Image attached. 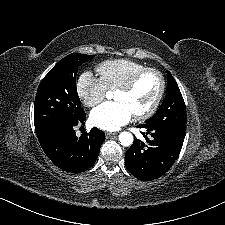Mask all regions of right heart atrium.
<instances>
[{
    "label": "right heart atrium",
    "instance_id": "right-heart-atrium-1",
    "mask_svg": "<svg viewBox=\"0 0 225 225\" xmlns=\"http://www.w3.org/2000/svg\"><path fill=\"white\" fill-rule=\"evenodd\" d=\"M76 89L79 98L88 107L102 102L108 90L102 79L90 71H85L79 76Z\"/></svg>",
    "mask_w": 225,
    "mask_h": 225
}]
</instances>
